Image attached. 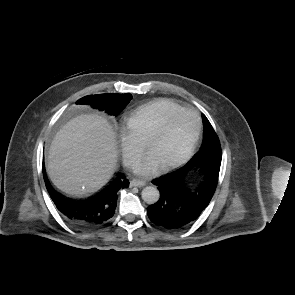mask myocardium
<instances>
[{
    "label": "myocardium",
    "mask_w": 295,
    "mask_h": 295,
    "mask_svg": "<svg viewBox=\"0 0 295 295\" xmlns=\"http://www.w3.org/2000/svg\"><path fill=\"white\" fill-rule=\"evenodd\" d=\"M192 114L195 117V121H196V130L194 133V136L188 146V148L186 149V151L176 160L171 161L163 166H161V170L162 171H167L173 168H176L180 165H182L183 163H185L194 153L200 135H201V129H202V123H201V118L199 116V114L193 110V109H189V108H182L180 110H177L173 113H171L161 124L160 126L149 136V138L146 140L145 142V149L148 152L150 146L155 143L157 140H159L164 133L166 132V130L168 129L169 125L171 124V122L179 115L181 114Z\"/></svg>",
    "instance_id": "myocardium-1"
}]
</instances>
